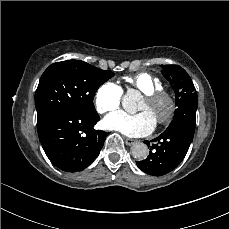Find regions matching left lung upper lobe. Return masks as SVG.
<instances>
[{
  "mask_svg": "<svg viewBox=\"0 0 229 229\" xmlns=\"http://www.w3.org/2000/svg\"><path fill=\"white\" fill-rule=\"evenodd\" d=\"M163 76L170 82L175 91L176 106L174 119L167 129L186 128L190 133L195 131L197 93L187 72L178 65H161Z\"/></svg>",
  "mask_w": 229,
  "mask_h": 229,
  "instance_id": "5c2ea615",
  "label": "left lung upper lobe"
}]
</instances>
